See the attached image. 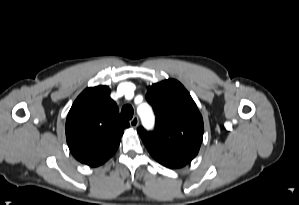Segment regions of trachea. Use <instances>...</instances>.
I'll list each match as a JSON object with an SVG mask.
<instances>
[{"label":"trachea","instance_id":"trachea-1","mask_svg":"<svg viewBox=\"0 0 299 205\" xmlns=\"http://www.w3.org/2000/svg\"><path fill=\"white\" fill-rule=\"evenodd\" d=\"M134 110L131 105L123 106L121 116L123 119L130 120L133 117Z\"/></svg>","mask_w":299,"mask_h":205}]
</instances>
